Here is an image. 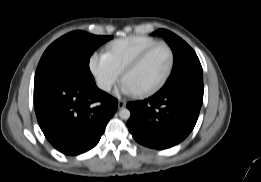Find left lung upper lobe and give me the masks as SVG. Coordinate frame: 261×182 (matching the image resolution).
Segmentation results:
<instances>
[{
	"mask_svg": "<svg viewBox=\"0 0 261 182\" xmlns=\"http://www.w3.org/2000/svg\"><path fill=\"white\" fill-rule=\"evenodd\" d=\"M153 34L163 36L174 53L171 75L159 92L165 93L190 82L203 81L200 61L194 50L185 41L165 29H158Z\"/></svg>",
	"mask_w": 261,
	"mask_h": 182,
	"instance_id": "5c2ea615",
	"label": "left lung upper lobe"
}]
</instances>
